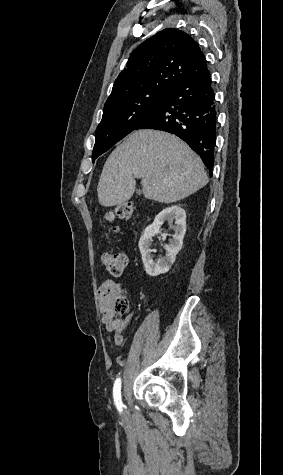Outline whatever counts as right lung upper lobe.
Instances as JSON below:
<instances>
[{
	"label": "right lung upper lobe",
	"mask_w": 283,
	"mask_h": 475,
	"mask_svg": "<svg viewBox=\"0 0 283 475\" xmlns=\"http://www.w3.org/2000/svg\"><path fill=\"white\" fill-rule=\"evenodd\" d=\"M208 73L206 58L193 38L167 28L133 51L105 105L146 93L169 92L188 79Z\"/></svg>",
	"instance_id": "1"
}]
</instances>
